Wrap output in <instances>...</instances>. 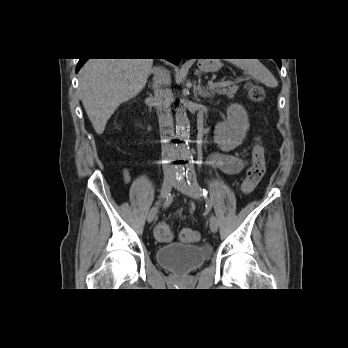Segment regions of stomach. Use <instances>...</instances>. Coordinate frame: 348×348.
<instances>
[{"label": "stomach", "mask_w": 348, "mask_h": 348, "mask_svg": "<svg viewBox=\"0 0 348 348\" xmlns=\"http://www.w3.org/2000/svg\"><path fill=\"white\" fill-rule=\"evenodd\" d=\"M221 67V63L217 59H202L199 61V68L204 72H216Z\"/></svg>", "instance_id": "stomach-1"}]
</instances>
